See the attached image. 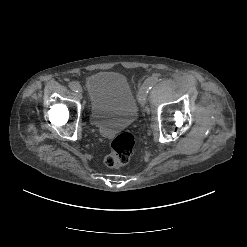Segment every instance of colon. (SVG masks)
I'll list each match as a JSON object with an SVG mask.
<instances>
[{"label":"colon","mask_w":247,"mask_h":247,"mask_svg":"<svg viewBox=\"0 0 247 247\" xmlns=\"http://www.w3.org/2000/svg\"><path fill=\"white\" fill-rule=\"evenodd\" d=\"M109 153L105 156V164L111 168L125 165L131 158L135 148V137L130 132H122L113 138L109 145Z\"/></svg>","instance_id":"5ec220e1"}]
</instances>
